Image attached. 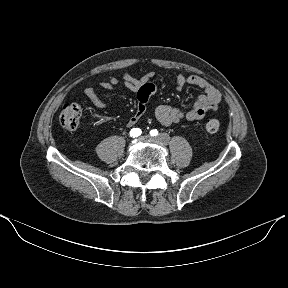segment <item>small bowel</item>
Returning <instances> with one entry per match:
<instances>
[{
	"label": "small bowel",
	"mask_w": 288,
	"mask_h": 288,
	"mask_svg": "<svg viewBox=\"0 0 288 288\" xmlns=\"http://www.w3.org/2000/svg\"><path fill=\"white\" fill-rule=\"evenodd\" d=\"M155 76L154 72H149L141 78H135L129 73H123L122 82L116 77H110L107 81H101L100 87L111 90L117 88L121 83L137 95V108L135 113L126 121L128 128L134 127L145 115L149 98L157 92L156 86L151 82ZM196 86L204 91L199 95L193 107L187 111L170 106L159 105L155 108V116L164 127L179 123L183 119L197 121L203 119L209 112L215 111L221 101L220 92L206 79L196 75L179 74L176 77L175 86L181 90L185 86ZM85 94L98 109L105 110L107 105L99 99L95 89L92 87L85 89Z\"/></svg>",
	"instance_id": "small-bowel-1"
}]
</instances>
